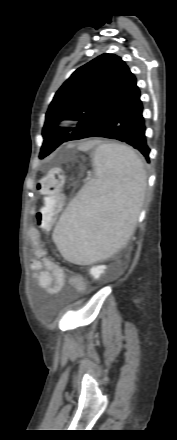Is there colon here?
I'll return each mask as SVG.
<instances>
[{
	"instance_id": "colon-1",
	"label": "colon",
	"mask_w": 177,
	"mask_h": 440,
	"mask_svg": "<svg viewBox=\"0 0 177 440\" xmlns=\"http://www.w3.org/2000/svg\"><path fill=\"white\" fill-rule=\"evenodd\" d=\"M64 172L60 167L52 168L39 184L44 204L36 214L37 225L46 228L51 225L55 214L63 203Z\"/></svg>"
}]
</instances>
